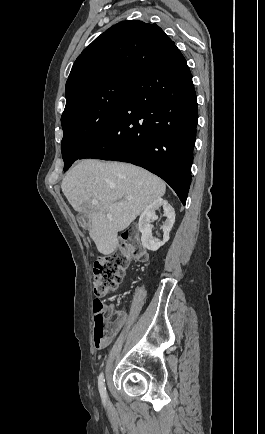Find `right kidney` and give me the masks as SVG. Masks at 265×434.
<instances>
[{
	"label": "right kidney",
	"instance_id": "right-kidney-1",
	"mask_svg": "<svg viewBox=\"0 0 265 434\" xmlns=\"http://www.w3.org/2000/svg\"><path fill=\"white\" fill-rule=\"evenodd\" d=\"M158 208H163L164 214L166 216V220L162 226V230L164 232L163 242H156V240H153L151 232L150 222L151 220H153V218H155V212L156 210H158ZM174 222V208H172V206H170V204H168L166 200H162V198H157V200L151 202L149 206H146L144 212H142L138 222V228L142 234V246H144V248H147V250H152V252H156V250H159L161 246H164L165 242H168Z\"/></svg>",
	"mask_w": 265,
	"mask_h": 434
}]
</instances>
